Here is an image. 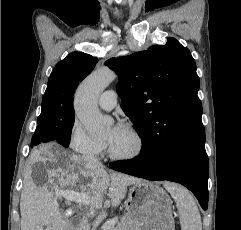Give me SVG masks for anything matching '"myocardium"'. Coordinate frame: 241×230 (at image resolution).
<instances>
[{
  "label": "myocardium",
  "instance_id": "f54148a6",
  "mask_svg": "<svg viewBox=\"0 0 241 230\" xmlns=\"http://www.w3.org/2000/svg\"><path fill=\"white\" fill-rule=\"evenodd\" d=\"M123 127H125L134 137L135 141H136V147L134 149L133 152H131L130 154L127 155H117L115 153H113L110 149V147L108 146V144L105 145L106 148V152L107 155L114 161H118V162H128V161H132L136 158H138L144 150V139L142 137V135L140 134V132L131 124H125Z\"/></svg>",
  "mask_w": 241,
  "mask_h": 230
}]
</instances>
